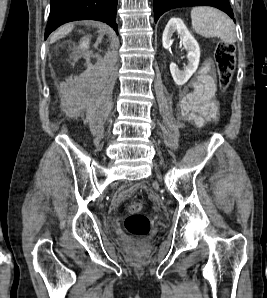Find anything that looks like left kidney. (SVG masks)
<instances>
[{
  "instance_id": "1",
  "label": "left kidney",
  "mask_w": 267,
  "mask_h": 298,
  "mask_svg": "<svg viewBox=\"0 0 267 298\" xmlns=\"http://www.w3.org/2000/svg\"><path fill=\"white\" fill-rule=\"evenodd\" d=\"M175 32H177L181 43L188 52L187 59L189 62L184 71H180L175 63L171 62L170 64V72L173 80L177 85L181 86L196 72L200 60V48L198 42L191 35L184 22L179 18H171L162 36V43L165 49L171 48L173 44L172 36Z\"/></svg>"
}]
</instances>
